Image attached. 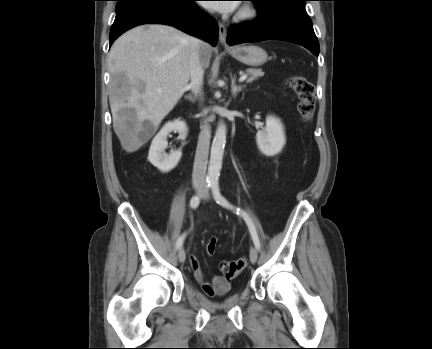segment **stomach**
Returning <instances> with one entry per match:
<instances>
[{
    "instance_id": "1",
    "label": "stomach",
    "mask_w": 432,
    "mask_h": 349,
    "mask_svg": "<svg viewBox=\"0 0 432 349\" xmlns=\"http://www.w3.org/2000/svg\"><path fill=\"white\" fill-rule=\"evenodd\" d=\"M229 54L239 62L257 67L266 63L268 55L264 49L255 45H241L228 49Z\"/></svg>"
}]
</instances>
